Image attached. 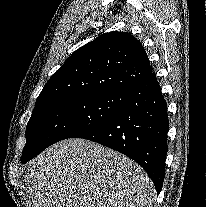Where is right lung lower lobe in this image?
Wrapping results in <instances>:
<instances>
[{"label": "right lung lower lobe", "instance_id": "right-lung-lower-lobe-1", "mask_svg": "<svg viewBox=\"0 0 206 207\" xmlns=\"http://www.w3.org/2000/svg\"><path fill=\"white\" fill-rule=\"evenodd\" d=\"M168 130L167 103L152 73L127 90L125 102L116 114L76 138L97 142L135 160L159 194L165 174Z\"/></svg>", "mask_w": 206, "mask_h": 207}]
</instances>
